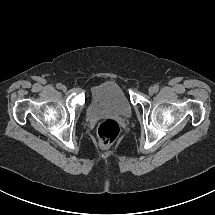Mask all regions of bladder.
I'll return each mask as SVG.
<instances>
[{
  "mask_svg": "<svg viewBox=\"0 0 215 215\" xmlns=\"http://www.w3.org/2000/svg\"><path fill=\"white\" fill-rule=\"evenodd\" d=\"M132 105L122 87L113 80L103 81L91 89L88 113L97 116L111 113L122 118L132 115Z\"/></svg>",
  "mask_w": 215,
  "mask_h": 215,
  "instance_id": "1",
  "label": "bladder"
}]
</instances>
